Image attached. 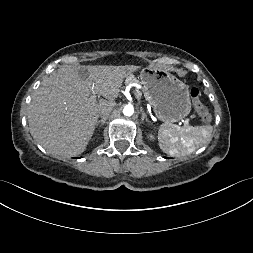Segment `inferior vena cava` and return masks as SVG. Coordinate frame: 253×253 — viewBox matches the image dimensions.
<instances>
[{
  "instance_id": "1",
  "label": "inferior vena cava",
  "mask_w": 253,
  "mask_h": 253,
  "mask_svg": "<svg viewBox=\"0 0 253 253\" xmlns=\"http://www.w3.org/2000/svg\"><path fill=\"white\" fill-rule=\"evenodd\" d=\"M115 106H116V102H110L109 104L101 107L100 116L102 118L108 116L109 113L114 109Z\"/></svg>"
}]
</instances>
